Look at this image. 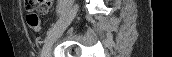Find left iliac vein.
<instances>
[{
  "label": "left iliac vein",
  "instance_id": "obj_1",
  "mask_svg": "<svg viewBox=\"0 0 172 57\" xmlns=\"http://www.w3.org/2000/svg\"><path fill=\"white\" fill-rule=\"evenodd\" d=\"M77 8L78 6L75 5L73 7V9L71 10L70 14H69V18L67 20V23H69L73 17L75 16L76 12H77ZM59 30H60V27H57L54 32L52 33V35L47 39L44 47H43V50H42V54H41V57H49L50 56V50H51V47L59 33Z\"/></svg>",
  "mask_w": 172,
  "mask_h": 57
}]
</instances>
